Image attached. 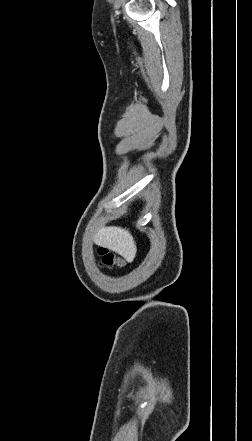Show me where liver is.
I'll use <instances>...</instances> for the list:
<instances>
[{"label":"liver","mask_w":252,"mask_h":441,"mask_svg":"<svg viewBox=\"0 0 252 441\" xmlns=\"http://www.w3.org/2000/svg\"><path fill=\"white\" fill-rule=\"evenodd\" d=\"M97 245L106 247L132 262L136 256L137 248L129 230L117 226L103 227L94 235Z\"/></svg>","instance_id":"6515ba94"}]
</instances>
